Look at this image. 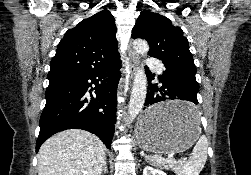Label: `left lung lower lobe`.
<instances>
[{"label": "left lung lower lobe", "instance_id": "left-lung-lower-lobe-1", "mask_svg": "<svg viewBox=\"0 0 251 175\" xmlns=\"http://www.w3.org/2000/svg\"><path fill=\"white\" fill-rule=\"evenodd\" d=\"M165 68L163 74L158 76L162 86L158 88L157 84H151L150 91H147L144 112L141 117L142 124L146 126L192 121L199 116V109L196 106L199 91L195 78L196 72L170 65H165ZM148 72L147 69V77L151 81L152 77ZM169 99L186 100L191 103L166 108L151 107L155 103Z\"/></svg>", "mask_w": 251, "mask_h": 175}]
</instances>
